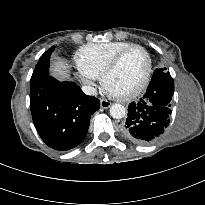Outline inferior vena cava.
<instances>
[{"label": "inferior vena cava", "mask_w": 205, "mask_h": 205, "mask_svg": "<svg viewBox=\"0 0 205 205\" xmlns=\"http://www.w3.org/2000/svg\"><path fill=\"white\" fill-rule=\"evenodd\" d=\"M82 91L86 94V95H97V90L96 88L89 86V85H84L82 86Z\"/></svg>", "instance_id": "1"}]
</instances>
